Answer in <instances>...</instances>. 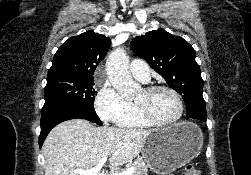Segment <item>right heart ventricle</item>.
I'll list each match as a JSON object with an SVG mask.
<instances>
[{"mask_svg":"<svg viewBox=\"0 0 251 175\" xmlns=\"http://www.w3.org/2000/svg\"><path fill=\"white\" fill-rule=\"evenodd\" d=\"M118 125L124 128H134L147 127L150 124L143 117H141L137 110L133 107L131 113Z\"/></svg>","mask_w":251,"mask_h":175,"instance_id":"right-heart-ventricle-1","label":"right heart ventricle"}]
</instances>
